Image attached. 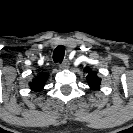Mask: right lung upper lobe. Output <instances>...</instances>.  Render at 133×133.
Returning a JSON list of instances; mask_svg holds the SVG:
<instances>
[{"label": "right lung upper lobe", "instance_id": "cb5924a9", "mask_svg": "<svg viewBox=\"0 0 133 133\" xmlns=\"http://www.w3.org/2000/svg\"><path fill=\"white\" fill-rule=\"evenodd\" d=\"M48 74L47 73H41L38 76H36L32 82H30L29 86L31 90L38 92L41 91L44 88L45 82L47 81Z\"/></svg>", "mask_w": 133, "mask_h": 133}]
</instances>
